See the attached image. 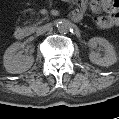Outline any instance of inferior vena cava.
I'll use <instances>...</instances> for the list:
<instances>
[{
    "label": "inferior vena cava",
    "mask_w": 119,
    "mask_h": 119,
    "mask_svg": "<svg viewBox=\"0 0 119 119\" xmlns=\"http://www.w3.org/2000/svg\"><path fill=\"white\" fill-rule=\"evenodd\" d=\"M51 28H52L51 24H46V25H43V26L37 28L36 33H37L38 35H42V34H44L45 32H47L48 30H50Z\"/></svg>",
    "instance_id": "obj_1"
}]
</instances>
